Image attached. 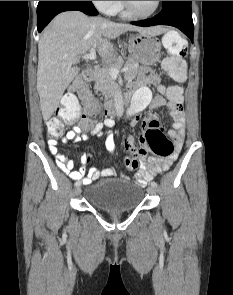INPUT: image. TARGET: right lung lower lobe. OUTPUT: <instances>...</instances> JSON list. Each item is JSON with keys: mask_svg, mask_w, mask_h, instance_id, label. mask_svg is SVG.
Segmentation results:
<instances>
[{"mask_svg": "<svg viewBox=\"0 0 233 295\" xmlns=\"http://www.w3.org/2000/svg\"><path fill=\"white\" fill-rule=\"evenodd\" d=\"M78 10L87 15H97L91 1H39L37 7V29L41 32L44 27L60 12Z\"/></svg>", "mask_w": 233, "mask_h": 295, "instance_id": "obj_1", "label": "right lung lower lobe"}]
</instances>
